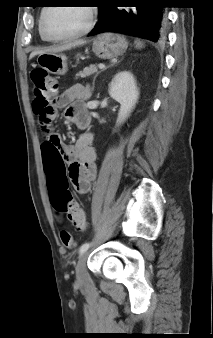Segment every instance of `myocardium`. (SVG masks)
Instances as JSON below:
<instances>
[{
    "label": "myocardium",
    "mask_w": 213,
    "mask_h": 338,
    "mask_svg": "<svg viewBox=\"0 0 213 338\" xmlns=\"http://www.w3.org/2000/svg\"><path fill=\"white\" fill-rule=\"evenodd\" d=\"M54 5L52 4H49L44 13L42 14V17H41V20H40V34L42 36V38L46 41H49V42H64V41H70V40H74V39H78V38H81L83 36H85L86 34H88L94 24H95V18H96V15H97V10L91 5V4H85V8L87 9L88 11V22L87 24L85 25L84 28H82L80 31L74 33V34H70V35H67V36H63V37H57V38H54V37H50L47 35L46 33V30H45V22H46V17L48 15V13L50 12V10L53 8Z\"/></svg>",
    "instance_id": "f54148a6"
}]
</instances>
